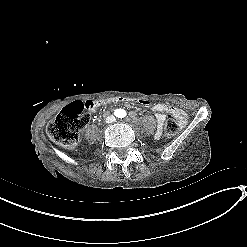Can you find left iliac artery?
Instances as JSON below:
<instances>
[{
    "label": "left iliac artery",
    "instance_id": "44dca946",
    "mask_svg": "<svg viewBox=\"0 0 247 247\" xmlns=\"http://www.w3.org/2000/svg\"><path fill=\"white\" fill-rule=\"evenodd\" d=\"M126 115H127L126 111L123 110L122 113H121V116L125 117Z\"/></svg>",
    "mask_w": 247,
    "mask_h": 247
}]
</instances>
